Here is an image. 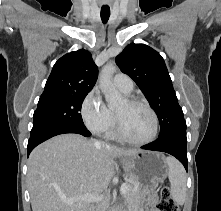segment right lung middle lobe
I'll return each mask as SVG.
<instances>
[{
  "mask_svg": "<svg viewBox=\"0 0 221 211\" xmlns=\"http://www.w3.org/2000/svg\"><path fill=\"white\" fill-rule=\"evenodd\" d=\"M88 93H43L33 116L31 133L49 126L70 125L84 128L80 114Z\"/></svg>",
  "mask_w": 221,
  "mask_h": 211,
  "instance_id": "obj_1",
  "label": "right lung middle lobe"
}]
</instances>
